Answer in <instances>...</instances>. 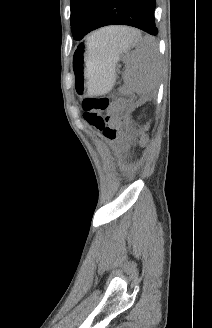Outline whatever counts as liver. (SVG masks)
<instances>
[{
	"label": "liver",
	"mask_w": 212,
	"mask_h": 328,
	"mask_svg": "<svg viewBox=\"0 0 212 328\" xmlns=\"http://www.w3.org/2000/svg\"><path fill=\"white\" fill-rule=\"evenodd\" d=\"M139 32L135 29L128 27H109L105 31L108 39V46L114 49L127 47L128 45L136 42V37ZM119 60V58H117Z\"/></svg>",
	"instance_id": "1"
}]
</instances>
